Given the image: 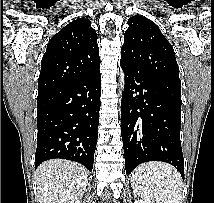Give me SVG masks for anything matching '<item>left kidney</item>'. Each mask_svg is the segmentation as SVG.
<instances>
[{
	"label": "left kidney",
	"mask_w": 214,
	"mask_h": 203,
	"mask_svg": "<svg viewBox=\"0 0 214 203\" xmlns=\"http://www.w3.org/2000/svg\"><path fill=\"white\" fill-rule=\"evenodd\" d=\"M134 203H147V202L143 200H136Z\"/></svg>",
	"instance_id": "5707ae66"
}]
</instances>
